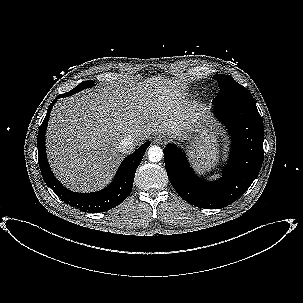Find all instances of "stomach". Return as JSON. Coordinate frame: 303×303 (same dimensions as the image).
<instances>
[{"label": "stomach", "instance_id": "obj_1", "mask_svg": "<svg viewBox=\"0 0 303 303\" xmlns=\"http://www.w3.org/2000/svg\"><path fill=\"white\" fill-rule=\"evenodd\" d=\"M190 153L199 171L212 170L219 161V150L213 133L202 129L200 137L194 139Z\"/></svg>", "mask_w": 303, "mask_h": 303}]
</instances>
